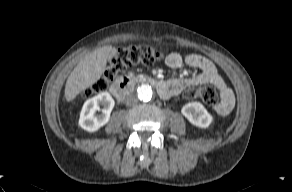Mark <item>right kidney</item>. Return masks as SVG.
Instances as JSON below:
<instances>
[{"label": "right kidney", "instance_id": "1", "mask_svg": "<svg viewBox=\"0 0 292 192\" xmlns=\"http://www.w3.org/2000/svg\"><path fill=\"white\" fill-rule=\"evenodd\" d=\"M100 105L103 106L100 109ZM115 101L108 92H101L88 99L81 110L79 125L86 131L94 132L108 123ZM101 110V114L96 115Z\"/></svg>", "mask_w": 292, "mask_h": 192}]
</instances>
